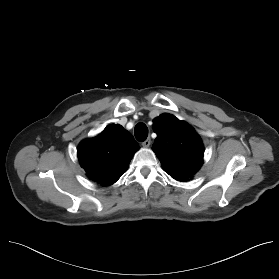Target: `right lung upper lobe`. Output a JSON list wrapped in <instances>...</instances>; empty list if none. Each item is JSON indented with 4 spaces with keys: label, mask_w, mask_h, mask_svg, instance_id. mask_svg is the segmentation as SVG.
Masks as SVG:
<instances>
[{
    "label": "right lung upper lobe",
    "mask_w": 279,
    "mask_h": 279,
    "mask_svg": "<svg viewBox=\"0 0 279 279\" xmlns=\"http://www.w3.org/2000/svg\"><path fill=\"white\" fill-rule=\"evenodd\" d=\"M139 149L131 133L120 125H110L78 147V159L87 176L102 185L115 183L128 169Z\"/></svg>",
    "instance_id": "cb5924a9"
}]
</instances>
